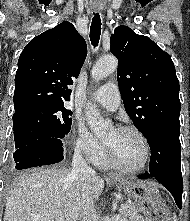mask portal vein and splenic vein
<instances>
[{"mask_svg": "<svg viewBox=\"0 0 190 221\" xmlns=\"http://www.w3.org/2000/svg\"><path fill=\"white\" fill-rule=\"evenodd\" d=\"M128 206L126 204H121V209H127ZM57 221H64L63 218L58 219Z\"/></svg>", "mask_w": 190, "mask_h": 221, "instance_id": "18ae733b", "label": "portal vein and splenic vein"}]
</instances>
